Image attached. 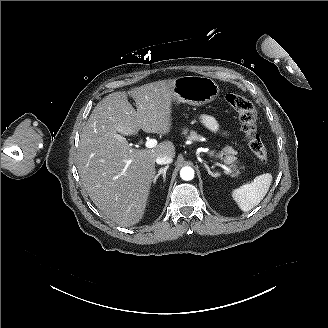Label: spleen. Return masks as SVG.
Masks as SVG:
<instances>
[{"label":"spleen","mask_w":328,"mask_h":328,"mask_svg":"<svg viewBox=\"0 0 328 328\" xmlns=\"http://www.w3.org/2000/svg\"><path fill=\"white\" fill-rule=\"evenodd\" d=\"M272 182V175L265 173L255 177L253 182L234 189L232 197L239 208L247 212L257 206L267 194Z\"/></svg>","instance_id":"1"}]
</instances>
